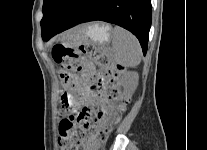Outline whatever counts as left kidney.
<instances>
[{
    "label": "left kidney",
    "mask_w": 207,
    "mask_h": 150,
    "mask_svg": "<svg viewBox=\"0 0 207 150\" xmlns=\"http://www.w3.org/2000/svg\"><path fill=\"white\" fill-rule=\"evenodd\" d=\"M138 73L137 72H127L123 78L124 85V95L129 98L131 94L135 91L138 85Z\"/></svg>",
    "instance_id": "left-kidney-1"
}]
</instances>
